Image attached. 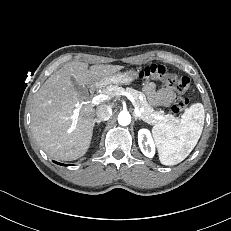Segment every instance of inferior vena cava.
Instances as JSON below:
<instances>
[{"label": "inferior vena cava", "mask_w": 231, "mask_h": 231, "mask_svg": "<svg viewBox=\"0 0 231 231\" xmlns=\"http://www.w3.org/2000/svg\"><path fill=\"white\" fill-rule=\"evenodd\" d=\"M96 116L97 120L101 121H107L112 116V109L110 106L107 105H101L96 110Z\"/></svg>", "instance_id": "1"}]
</instances>
